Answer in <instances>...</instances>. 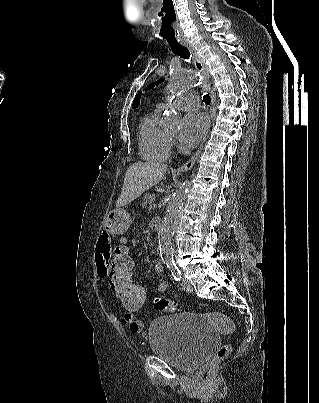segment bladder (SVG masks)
I'll return each instance as SVG.
<instances>
[{
	"label": "bladder",
	"mask_w": 319,
	"mask_h": 403,
	"mask_svg": "<svg viewBox=\"0 0 319 403\" xmlns=\"http://www.w3.org/2000/svg\"><path fill=\"white\" fill-rule=\"evenodd\" d=\"M148 334L155 356L186 371L199 367L219 344L210 324L194 313L155 317Z\"/></svg>",
	"instance_id": "bladder-1"
}]
</instances>
